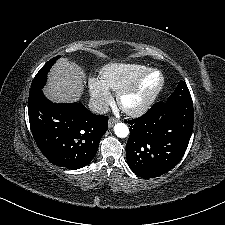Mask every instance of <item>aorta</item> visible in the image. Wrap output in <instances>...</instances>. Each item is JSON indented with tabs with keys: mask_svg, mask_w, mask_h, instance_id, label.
I'll use <instances>...</instances> for the list:
<instances>
[{
	"mask_svg": "<svg viewBox=\"0 0 225 225\" xmlns=\"http://www.w3.org/2000/svg\"><path fill=\"white\" fill-rule=\"evenodd\" d=\"M114 132H115L117 137L125 138L129 135V128L124 123H117L114 126Z\"/></svg>",
	"mask_w": 225,
	"mask_h": 225,
	"instance_id": "obj_1",
	"label": "aorta"
}]
</instances>
